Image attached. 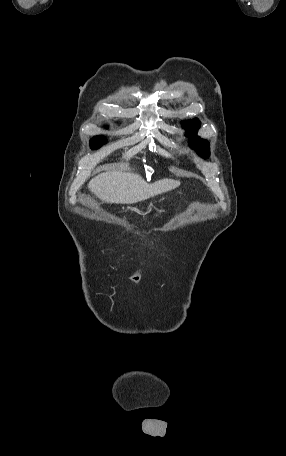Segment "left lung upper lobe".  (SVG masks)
Wrapping results in <instances>:
<instances>
[{"mask_svg": "<svg viewBox=\"0 0 286 456\" xmlns=\"http://www.w3.org/2000/svg\"><path fill=\"white\" fill-rule=\"evenodd\" d=\"M200 127V121L193 119L184 123L186 130V136L189 137V145L191 148L197 151L202 158H208L210 155L209 143L206 140L199 139L196 135L197 130Z\"/></svg>", "mask_w": 286, "mask_h": 456, "instance_id": "1", "label": "left lung upper lobe"}]
</instances>
